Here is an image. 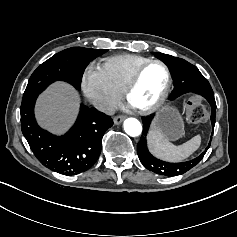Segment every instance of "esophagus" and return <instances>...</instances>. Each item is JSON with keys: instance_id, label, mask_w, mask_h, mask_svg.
<instances>
[{"instance_id": "1", "label": "esophagus", "mask_w": 237, "mask_h": 237, "mask_svg": "<svg viewBox=\"0 0 237 237\" xmlns=\"http://www.w3.org/2000/svg\"><path fill=\"white\" fill-rule=\"evenodd\" d=\"M124 119H125V116L120 115V116H116L113 121L116 125H119Z\"/></svg>"}]
</instances>
